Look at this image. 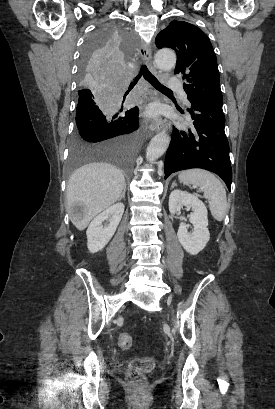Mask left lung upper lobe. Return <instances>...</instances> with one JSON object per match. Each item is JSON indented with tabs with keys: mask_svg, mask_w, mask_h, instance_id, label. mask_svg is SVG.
<instances>
[{
	"mask_svg": "<svg viewBox=\"0 0 275 409\" xmlns=\"http://www.w3.org/2000/svg\"><path fill=\"white\" fill-rule=\"evenodd\" d=\"M156 46L172 48L177 54L175 74L186 80L184 90L190 102L222 106L217 60L209 38L198 27L172 21L155 39Z\"/></svg>",
	"mask_w": 275,
	"mask_h": 409,
	"instance_id": "1",
	"label": "left lung upper lobe"
}]
</instances>
